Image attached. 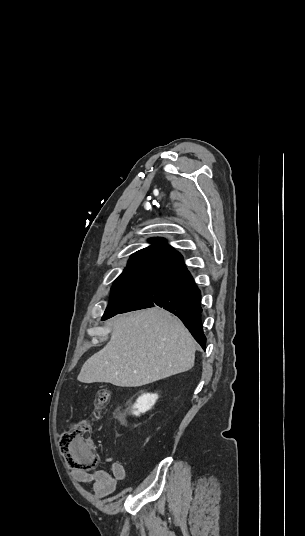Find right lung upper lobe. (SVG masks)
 <instances>
[{"instance_id":"obj_1","label":"right lung upper lobe","mask_w":305,"mask_h":536,"mask_svg":"<svg viewBox=\"0 0 305 536\" xmlns=\"http://www.w3.org/2000/svg\"><path fill=\"white\" fill-rule=\"evenodd\" d=\"M153 244L132 254L127 267L119 277L158 276L166 278L186 269L181 254L165 243L152 238Z\"/></svg>"}]
</instances>
